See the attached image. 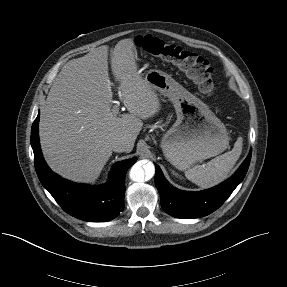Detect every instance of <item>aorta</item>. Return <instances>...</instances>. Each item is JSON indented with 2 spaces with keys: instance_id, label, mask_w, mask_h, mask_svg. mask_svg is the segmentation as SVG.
Masks as SVG:
<instances>
[{
  "instance_id": "762f6f07",
  "label": "aorta",
  "mask_w": 287,
  "mask_h": 287,
  "mask_svg": "<svg viewBox=\"0 0 287 287\" xmlns=\"http://www.w3.org/2000/svg\"><path fill=\"white\" fill-rule=\"evenodd\" d=\"M155 173V167L152 162H137L130 172L129 177L134 182H142L145 177L151 178Z\"/></svg>"
}]
</instances>
